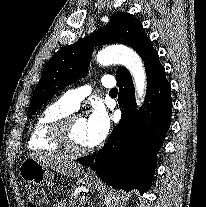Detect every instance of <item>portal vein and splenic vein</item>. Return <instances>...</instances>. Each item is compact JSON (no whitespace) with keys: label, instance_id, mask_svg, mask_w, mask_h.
Segmentation results:
<instances>
[{"label":"portal vein and splenic vein","instance_id":"18ae733b","mask_svg":"<svg viewBox=\"0 0 206 207\" xmlns=\"http://www.w3.org/2000/svg\"><path fill=\"white\" fill-rule=\"evenodd\" d=\"M85 201H86L85 198H82V199H81V202H82V203H84Z\"/></svg>","mask_w":206,"mask_h":207}]
</instances>
